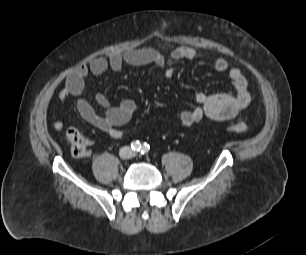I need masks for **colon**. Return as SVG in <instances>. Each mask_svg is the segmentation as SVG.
I'll use <instances>...</instances> for the list:
<instances>
[{"instance_id": "1", "label": "colon", "mask_w": 306, "mask_h": 255, "mask_svg": "<svg viewBox=\"0 0 306 255\" xmlns=\"http://www.w3.org/2000/svg\"><path fill=\"white\" fill-rule=\"evenodd\" d=\"M227 129L237 133H244L248 130V125L242 121H235L227 126ZM66 138L71 146V153L76 158H83L88 155L89 142L83 134L75 129L70 128L66 132Z\"/></svg>"}]
</instances>
